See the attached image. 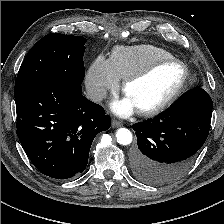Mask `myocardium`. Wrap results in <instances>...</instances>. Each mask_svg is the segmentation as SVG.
<instances>
[{"mask_svg": "<svg viewBox=\"0 0 224 224\" xmlns=\"http://www.w3.org/2000/svg\"><path fill=\"white\" fill-rule=\"evenodd\" d=\"M172 63L179 64L183 69V76H182L180 83L178 84L176 89L165 100H163L159 104L155 105L154 107H151L148 109L137 110L138 114L145 116V117L155 116V115H158V114L164 112L170 106H172L175 103V101L181 96L183 91L185 90L186 84L190 77L189 69H188L187 65L180 59H177L174 57L163 58V59H158V60L150 63L145 68L129 75L128 77H126L124 79L123 85H122V91L126 95L127 89L132 83H135L137 81L145 79L150 74H152L155 70H157L159 67L167 65V64H172Z\"/></svg>", "mask_w": 224, "mask_h": 224, "instance_id": "f54148a6", "label": "myocardium"}]
</instances>
